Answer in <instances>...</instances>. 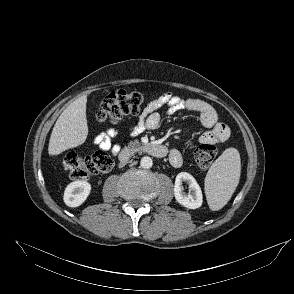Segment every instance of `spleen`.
I'll return each mask as SVG.
<instances>
[{
	"mask_svg": "<svg viewBox=\"0 0 294 294\" xmlns=\"http://www.w3.org/2000/svg\"><path fill=\"white\" fill-rule=\"evenodd\" d=\"M240 154L235 148L226 149L210 167L205 178V193L211 210L224 207L234 193L240 178Z\"/></svg>",
	"mask_w": 294,
	"mask_h": 294,
	"instance_id": "spleen-1",
	"label": "spleen"
}]
</instances>
